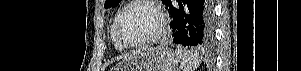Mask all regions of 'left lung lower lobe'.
Returning a JSON list of instances; mask_svg holds the SVG:
<instances>
[{
	"mask_svg": "<svg viewBox=\"0 0 301 71\" xmlns=\"http://www.w3.org/2000/svg\"><path fill=\"white\" fill-rule=\"evenodd\" d=\"M179 7L168 6L173 21L174 43L199 48L208 47L214 39V15L211 0H176Z\"/></svg>",
	"mask_w": 301,
	"mask_h": 71,
	"instance_id": "left-lung-lower-lobe-1",
	"label": "left lung lower lobe"
}]
</instances>
